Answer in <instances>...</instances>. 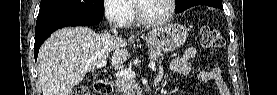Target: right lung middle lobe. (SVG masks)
I'll return each instance as SVG.
<instances>
[{
  "mask_svg": "<svg viewBox=\"0 0 277 95\" xmlns=\"http://www.w3.org/2000/svg\"><path fill=\"white\" fill-rule=\"evenodd\" d=\"M103 0H41L37 20L57 16L103 15Z\"/></svg>",
  "mask_w": 277,
  "mask_h": 95,
  "instance_id": "1",
  "label": "right lung middle lobe"
}]
</instances>
